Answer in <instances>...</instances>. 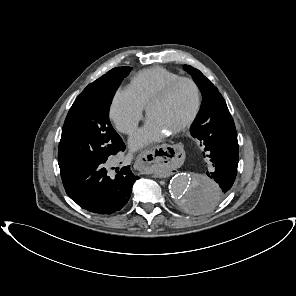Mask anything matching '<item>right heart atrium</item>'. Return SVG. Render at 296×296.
I'll list each match as a JSON object with an SVG mask.
<instances>
[{
  "label": "right heart atrium",
  "instance_id": "1",
  "mask_svg": "<svg viewBox=\"0 0 296 296\" xmlns=\"http://www.w3.org/2000/svg\"><path fill=\"white\" fill-rule=\"evenodd\" d=\"M142 107L127 90H118L114 93L109 116L115 127L122 133L133 134L143 118Z\"/></svg>",
  "mask_w": 296,
  "mask_h": 296
}]
</instances>
